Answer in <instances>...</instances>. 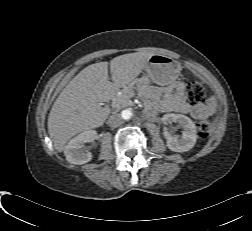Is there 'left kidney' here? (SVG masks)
<instances>
[{
	"label": "left kidney",
	"instance_id": "obj_1",
	"mask_svg": "<svg viewBox=\"0 0 252 231\" xmlns=\"http://www.w3.org/2000/svg\"><path fill=\"white\" fill-rule=\"evenodd\" d=\"M166 120L178 122L183 128L181 136L167 135V147L174 152H186L194 147L197 140L196 126L193 121L182 114H167Z\"/></svg>",
	"mask_w": 252,
	"mask_h": 231
}]
</instances>
